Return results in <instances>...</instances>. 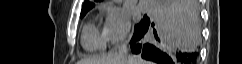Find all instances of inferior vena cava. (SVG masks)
Returning a JSON list of instances; mask_svg holds the SVG:
<instances>
[{
  "label": "inferior vena cava",
  "mask_w": 242,
  "mask_h": 64,
  "mask_svg": "<svg viewBox=\"0 0 242 64\" xmlns=\"http://www.w3.org/2000/svg\"><path fill=\"white\" fill-rule=\"evenodd\" d=\"M127 42H124L120 45L119 47V56L122 58V59H126V56H127V52H128V49H127Z\"/></svg>",
  "instance_id": "inferior-vena-cava-1"
}]
</instances>
